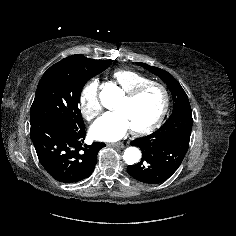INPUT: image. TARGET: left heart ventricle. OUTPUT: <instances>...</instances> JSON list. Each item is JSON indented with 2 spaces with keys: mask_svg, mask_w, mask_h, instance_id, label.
Masks as SVG:
<instances>
[{
  "mask_svg": "<svg viewBox=\"0 0 236 236\" xmlns=\"http://www.w3.org/2000/svg\"><path fill=\"white\" fill-rule=\"evenodd\" d=\"M163 102L162 91L157 87H151L132 101L121 98L115 109L126 115L131 128H142L157 118Z\"/></svg>",
  "mask_w": 236,
  "mask_h": 236,
  "instance_id": "1",
  "label": "left heart ventricle"
}]
</instances>
